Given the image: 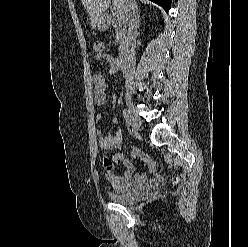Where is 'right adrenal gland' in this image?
Wrapping results in <instances>:
<instances>
[{
  "instance_id": "obj_1",
  "label": "right adrenal gland",
  "mask_w": 248,
  "mask_h": 247,
  "mask_svg": "<svg viewBox=\"0 0 248 247\" xmlns=\"http://www.w3.org/2000/svg\"><path fill=\"white\" fill-rule=\"evenodd\" d=\"M137 18H138V23H140V15H139L138 11H137Z\"/></svg>"
}]
</instances>
